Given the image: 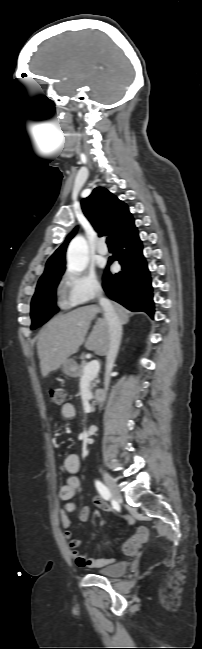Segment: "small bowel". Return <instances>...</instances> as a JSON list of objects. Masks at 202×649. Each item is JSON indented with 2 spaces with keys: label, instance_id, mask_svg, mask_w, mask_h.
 Returning a JSON list of instances; mask_svg holds the SVG:
<instances>
[{
  "label": "small bowel",
  "instance_id": "small-bowel-1",
  "mask_svg": "<svg viewBox=\"0 0 202 649\" xmlns=\"http://www.w3.org/2000/svg\"><path fill=\"white\" fill-rule=\"evenodd\" d=\"M61 416L63 419L70 420L76 416L75 406L67 402L61 407ZM65 471L69 474L66 478L64 485L60 488L59 498L66 502L64 507L60 511V521L65 529V538L68 541V548L70 555L77 566L83 568H101L108 564H111L115 561L113 558H94L86 557L79 551V547L82 544L80 539L74 537L73 532L69 529L71 525L70 513H72L76 507L70 502V500L75 496L77 491L81 486V482L77 473L80 471L81 463L77 455H69L65 458L63 463ZM107 509V504L100 497H94L90 505L85 506L81 509L79 513V521L86 522L93 510H105Z\"/></svg>",
  "mask_w": 202,
  "mask_h": 649
}]
</instances>
